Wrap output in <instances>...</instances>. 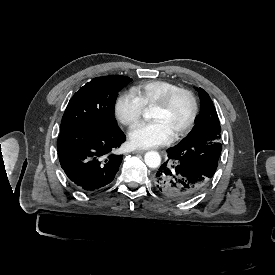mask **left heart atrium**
Returning a JSON list of instances; mask_svg holds the SVG:
<instances>
[{"mask_svg": "<svg viewBox=\"0 0 275 275\" xmlns=\"http://www.w3.org/2000/svg\"><path fill=\"white\" fill-rule=\"evenodd\" d=\"M171 137V133L158 121L138 124L128 135L129 143L134 148L161 145L170 141Z\"/></svg>", "mask_w": 275, "mask_h": 275, "instance_id": "left-heart-atrium-1", "label": "left heart atrium"}]
</instances>
